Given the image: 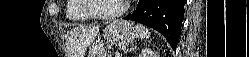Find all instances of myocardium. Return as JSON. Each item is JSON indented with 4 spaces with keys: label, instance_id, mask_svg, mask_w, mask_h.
<instances>
[{
    "label": "myocardium",
    "instance_id": "f54148a6",
    "mask_svg": "<svg viewBox=\"0 0 249 57\" xmlns=\"http://www.w3.org/2000/svg\"><path fill=\"white\" fill-rule=\"evenodd\" d=\"M93 1L94 0H82V10L90 17L104 21L115 20L121 17L127 11L129 6V1L126 0L123 2V5L119 11L111 14H100L93 11Z\"/></svg>",
    "mask_w": 249,
    "mask_h": 57
}]
</instances>
